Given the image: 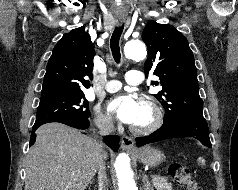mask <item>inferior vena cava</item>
Wrapping results in <instances>:
<instances>
[{
	"label": "inferior vena cava",
	"mask_w": 238,
	"mask_h": 190,
	"mask_svg": "<svg viewBox=\"0 0 238 190\" xmlns=\"http://www.w3.org/2000/svg\"><path fill=\"white\" fill-rule=\"evenodd\" d=\"M96 126L99 128V133L101 136L109 135L115 131V127L111 118L101 117L96 120ZM99 152L97 154V170H98V180H99V190H106L107 186V175L105 167V153L102 151V142L98 141Z\"/></svg>",
	"instance_id": "inferior-vena-cava-1"
}]
</instances>
